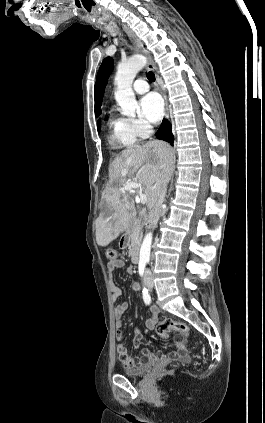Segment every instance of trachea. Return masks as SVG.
<instances>
[{"label": "trachea", "mask_w": 265, "mask_h": 423, "mask_svg": "<svg viewBox=\"0 0 265 423\" xmlns=\"http://www.w3.org/2000/svg\"><path fill=\"white\" fill-rule=\"evenodd\" d=\"M147 78H148V80H149L150 82H154V81H155V75H154V73H152L151 71H149V72L147 73Z\"/></svg>", "instance_id": "3493384b"}]
</instances>
